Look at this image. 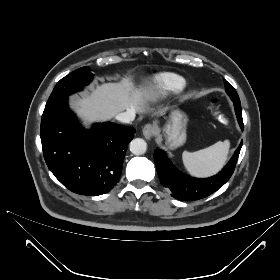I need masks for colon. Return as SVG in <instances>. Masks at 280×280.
<instances>
[{
  "instance_id": "5ec220e1",
  "label": "colon",
  "mask_w": 280,
  "mask_h": 280,
  "mask_svg": "<svg viewBox=\"0 0 280 280\" xmlns=\"http://www.w3.org/2000/svg\"><path fill=\"white\" fill-rule=\"evenodd\" d=\"M212 102H213V104H217L219 102V100L218 99H214Z\"/></svg>"
}]
</instances>
